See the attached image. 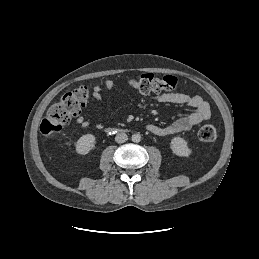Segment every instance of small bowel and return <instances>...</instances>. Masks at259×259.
I'll use <instances>...</instances> for the list:
<instances>
[{"instance_id":"1","label":"small bowel","mask_w":259,"mask_h":259,"mask_svg":"<svg viewBox=\"0 0 259 259\" xmlns=\"http://www.w3.org/2000/svg\"><path fill=\"white\" fill-rule=\"evenodd\" d=\"M105 88L108 91H112L114 89V82L110 79L105 81ZM94 97L100 101L102 99V89L99 86L94 87L93 92ZM158 102L161 103H169V104H177V105H186L193 108V112L180 117L168 125L159 126L155 124L147 125V130L154 135L157 136H169L176 133L188 131L192 129L197 124L206 121L211 116V110L209 104L198 95H191L187 93H163L155 97ZM143 104V100L139 99L137 101V105L141 107ZM76 122L86 128L90 125V121L86 116L78 115L76 118ZM98 129L102 128L101 124L97 125Z\"/></svg>"}]
</instances>
